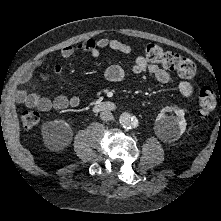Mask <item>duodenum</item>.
Listing matches in <instances>:
<instances>
[{
  "mask_svg": "<svg viewBox=\"0 0 221 221\" xmlns=\"http://www.w3.org/2000/svg\"><path fill=\"white\" fill-rule=\"evenodd\" d=\"M97 111H113L115 109V105L111 102H102L94 107Z\"/></svg>",
  "mask_w": 221,
  "mask_h": 221,
  "instance_id": "obj_1",
  "label": "duodenum"
}]
</instances>
